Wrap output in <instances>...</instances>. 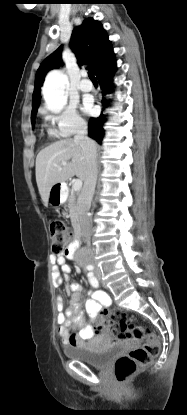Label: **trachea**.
<instances>
[{"instance_id":"1","label":"trachea","mask_w":187,"mask_h":415,"mask_svg":"<svg viewBox=\"0 0 187 415\" xmlns=\"http://www.w3.org/2000/svg\"><path fill=\"white\" fill-rule=\"evenodd\" d=\"M88 76H89V78H90L91 81H97L96 80V77L94 76V74H93L92 71H88Z\"/></svg>"}]
</instances>
